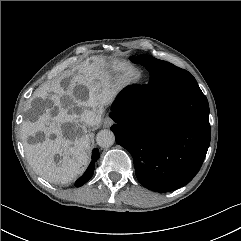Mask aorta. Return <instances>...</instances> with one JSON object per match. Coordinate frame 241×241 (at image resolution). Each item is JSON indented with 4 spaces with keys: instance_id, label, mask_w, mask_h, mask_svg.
<instances>
[{
    "instance_id": "obj_1",
    "label": "aorta",
    "mask_w": 241,
    "mask_h": 241,
    "mask_svg": "<svg viewBox=\"0 0 241 241\" xmlns=\"http://www.w3.org/2000/svg\"><path fill=\"white\" fill-rule=\"evenodd\" d=\"M96 142L102 148H109L115 142L114 133L108 129L101 130L96 136Z\"/></svg>"
}]
</instances>
